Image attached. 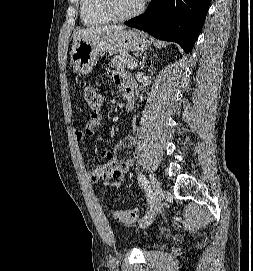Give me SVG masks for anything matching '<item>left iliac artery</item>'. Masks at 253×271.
I'll list each match as a JSON object with an SVG mask.
<instances>
[{"label": "left iliac artery", "instance_id": "left-iliac-artery-1", "mask_svg": "<svg viewBox=\"0 0 253 271\" xmlns=\"http://www.w3.org/2000/svg\"><path fill=\"white\" fill-rule=\"evenodd\" d=\"M139 180L141 182V185L143 186L145 192L147 193L148 201L151 198V188L149 185V181L146 179L145 175L142 173L139 174Z\"/></svg>", "mask_w": 253, "mask_h": 271}]
</instances>
